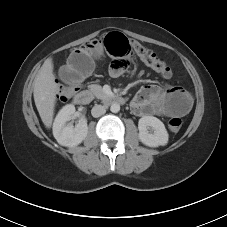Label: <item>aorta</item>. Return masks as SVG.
<instances>
[{
	"instance_id": "762f6f07",
	"label": "aorta",
	"mask_w": 227,
	"mask_h": 227,
	"mask_svg": "<svg viewBox=\"0 0 227 227\" xmlns=\"http://www.w3.org/2000/svg\"><path fill=\"white\" fill-rule=\"evenodd\" d=\"M112 113H118L120 111V105L118 103H113L110 107Z\"/></svg>"
}]
</instances>
